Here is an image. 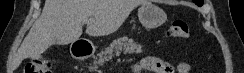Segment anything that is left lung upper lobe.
<instances>
[{"mask_svg": "<svg viewBox=\"0 0 244 73\" xmlns=\"http://www.w3.org/2000/svg\"><path fill=\"white\" fill-rule=\"evenodd\" d=\"M198 6H202L204 0H193Z\"/></svg>", "mask_w": 244, "mask_h": 73, "instance_id": "obj_1", "label": "left lung upper lobe"}]
</instances>
